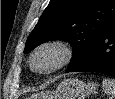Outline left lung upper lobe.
<instances>
[{"label": "left lung upper lobe", "instance_id": "5c2ea615", "mask_svg": "<svg viewBox=\"0 0 115 99\" xmlns=\"http://www.w3.org/2000/svg\"><path fill=\"white\" fill-rule=\"evenodd\" d=\"M115 23V0H50L29 35L24 53L49 40L71 44L73 68Z\"/></svg>", "mask_w": 115, "mask_h": 99}]
</instances>
